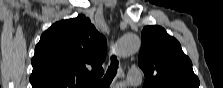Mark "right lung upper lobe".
<instances>
[{
  "label": "right lung upper lobe",
  "mask_w": 223,
  "mask_h": 88,
  "mask_svg": "<svg viewBox=\"0 0 223 88\" xmlns=\"http://www.w3.org/2000/svg\"><path fill=\"white\" fill-rule=\"evenodd\" d=\"M107 42L83 15L53 24L35 48L32 88H87L104 70Z\"/></svg>",
  "instance_id": "1"
}]
</instances>
